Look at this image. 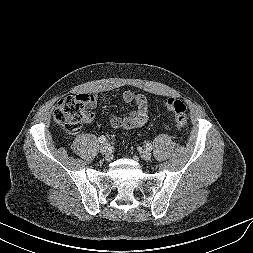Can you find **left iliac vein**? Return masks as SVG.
<instances>
[{
    "mask_svg": "<svg viewBox=\"0 0 253 253\" xmlns=\"http://www.w3.org/2000/svg\"><path fill=\"white\" fill-rule=\"evenodd\" d=\"M140 156L144 161H150L151 153L148 150H142Z\"/></svg>",
    "mask_w": 253,
    "mask_h": 253,
    "instance_id": "obj_1",
    "label": "left iliac vein"
}]
</instances>
